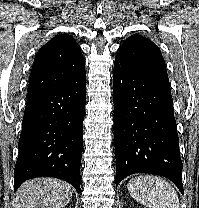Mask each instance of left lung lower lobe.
Instances as JSON below:
<instances>
[{"label":"left lung lower lobe","instance_id":"0a47b994","mask_svg":"<svg viewBox=\"0 0 199 208\" xmlns=\"http://www.w3.org/2000/svg\"><path fill=\"white\" fill-rule=\"evenodd\" d=\"M116 186L134 173L164 176L183 193L169 81L116 58L113 72Z\"/></svg>","mask_w":199,"mask_h":208}]
</instances>
